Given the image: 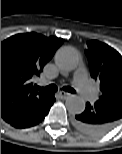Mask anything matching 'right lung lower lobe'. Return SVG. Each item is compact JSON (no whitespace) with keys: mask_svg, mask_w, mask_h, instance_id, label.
I'll return each instance as SVG.
<instances>
[{"mask_svg":"<svg viewBox=\"0 0 122 154\" xmlns=\"http://www.w3.org/2000/svg\"><path fill=\"white\" fill-rule=\"evenodd\" d=\"M54 101V94H50L44 102L40 103L38 106L29 108L8 123L15 128H28L37 125L48 114Z\"/></svg>","mask_w":122,"mask_h":154,"instance_id":"1","label":"right lung lower lobe"}]
</instances>
